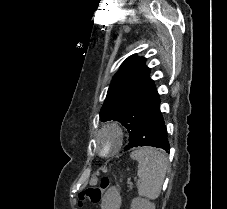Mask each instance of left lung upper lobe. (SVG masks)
Listing matches in <instances>:
<instances>
[{"label":"left lung upper lobe","mask_w":227,"mask_h":209,"mask_svg":"<svg viewBox=\"0 0 227 209\" xmlns=\"http://www.w3.org/2000/svg\"><path fill=\"white\" fill-rule=\"evenodd\" d=\"M144 57L131 55L121 65L112 79L107 97L100 111L103 122L119 121L129 133V142L134 139L136 129L145 115L159 98L150 68Z\"/></svg>","instance_id":"1"}]
</instances>
